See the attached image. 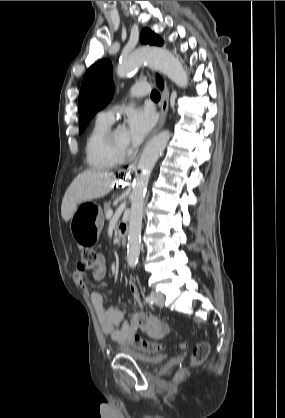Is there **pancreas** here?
Instances as JSON below:
<instances>
[{
	"label": "pancreas",
	"instance_id": "1",
	"mask_svg": "<svg viewBox=\"0 0 285 418\" xmlns=\"http://www.w3.org/2000/svg\"><path fill=\"white\" fill-rule=\"evenodd\" d=\"M110 209H111L110 203L109 202H105L104 203V211H105V213H107Z\"/></svg>",
	"mask_w": 285,
	"mask_h": 418
}]
</instances>
